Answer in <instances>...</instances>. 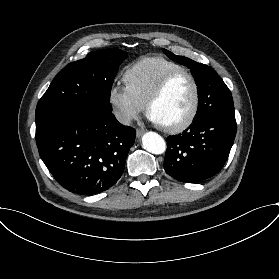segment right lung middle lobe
I'll use <instances>...</instances> for the list:
<instances>
[{
  "mask_svg": "<svg viewBox=\"0 0 279 279\" xmlns=\"http://www.w3.org/2000/svg\"><path fill=\"white\" fill-rule=\"evenodd\" d=\"M128 56L120 49H103L64 67L39 100L35 116L53 107L88 104L111 112L110 92L118 66Z\"/></svg>",
  "mask_w": 279,
  "mask_h": 279,
  "instance_id": "right-lung-middle-lobe-1",
  "label": "right lung middle lobe"
}]
</instances>
